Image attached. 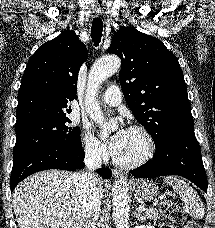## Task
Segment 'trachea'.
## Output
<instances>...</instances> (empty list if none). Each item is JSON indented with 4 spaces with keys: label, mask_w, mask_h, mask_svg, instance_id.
<instances>
[{
    "label": "trachea",
    "mask_w": 215,
    "mask_h": 228,
    "mask_svg": "<svg viewBox=\"0 0 215 228\" xmlns=\"http://www.w3.org/2000/svg\"><path fill=\"white\" fill-rule=\"evenodd\" d=\"M102 31H103L102 20L100 18H94L92 23V29H91V37L95 46H98L101 41Z\"/></svg>",
    "instance_id": "obj_1"
}]
</instances>
